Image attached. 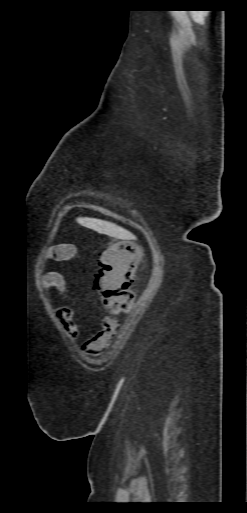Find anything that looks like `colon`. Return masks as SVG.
<instances>
[{
  "label": "colon",
  "instance_id": "1",
  "mask_svg": "<svg viewBox=\"0 0 247 513\" xmlns=\"http://www.w3.org/2000/svg\"><path fill=\"white\" fill-rule=\"evenodd\" d=\"M139 262V248L132 242L109 244L100 253L94 289L108 312L120 313L132 305V286Z\"/></svg>",
  "mask_w": 247,
  "mask_h": 513
}]
</instances>
